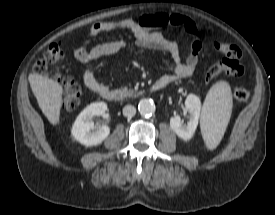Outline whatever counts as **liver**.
Returning a JSON list of instances; mask_svg holds the SVG:
<instances>
[{
	"mask_svg": "<svg viewBox=\"0 0 275 215\" xmlns=\"http://www.w3.org/2000/svg\"><path fill=\"white\" fill-rule=\"evenodd\" d=\"M28 80L43 114L52 125H57L63 103L62 85L56 80L37 73H30Z\"/></svg>",
	"mask_w": 275,
	"mask_h": 215,
	"instance_id": "6515ba94",
	"label": "liver"
}]
</instances>
